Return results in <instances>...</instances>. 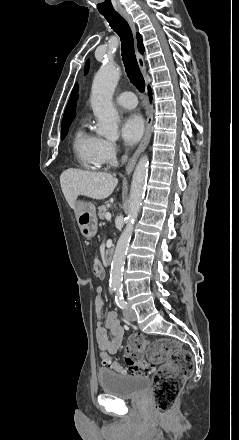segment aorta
<instances>
[{
	"instance_id": "obj_1",
	"label": "aorta",
	"mask_w": 239,
	"mask_h": 440,
	"mask_svg": "<svg viewBox=\"0 0 239 440\" xmlns=\"http://www.w3.org/2000/svg\"><path fill=\"white\" fill-rule=\"evenodd\" d=\"M121 70L115 66L113 60H107L98 70L91 88V106L95 118L98 120L97 134L106 140L116 142L119 138V116L112 104V96L120 80ZM148 174V158H140L133 174L129 196V208L126 228L123 230L113 254L110 272V284L116 290H122V278L129 242L131 240L135 220L138 218L145 192Z\"/></svg>"
}]
</instances>
